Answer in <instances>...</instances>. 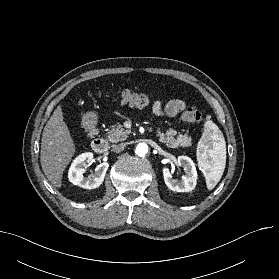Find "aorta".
Instances as JSON below:
<instances>
[{
	"label": "aorta",
	"mask_w": 279,
	"mask_h": 279,
	"mask_svg": "<svg viewBox=\"0 0 279 279\" xmlns=\"http://www.w3.org/2000/svg\"><path fill=\"white\" fill-rule=\"evenodd\" d=\"M136 155L144 157L148 153V146L145 143H139L135 150Z\"/></svg>",
	"instance_id": "aorta-1"
}]
</instances>
